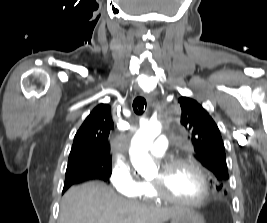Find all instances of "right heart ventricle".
<instances>
[{
	"instance_id": "obj_1",
	"label": "right heart ventricle",
	"mask_w": 267,
	"mask_h": 223,
	"mask_svg": "<svg viewBox=\"0 0 267 223\" xmlns=\"http://www.w3.org/2000/svg\"><path fill=\"white\" fill-rule=\"evenodd\" d=\"M137 196L145 200L155 199V196L153 194V191H152V188L149 182H142L141 187H140V192Z\"/></svg>"
}]
</instances>
